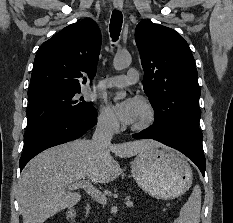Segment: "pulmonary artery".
I'll list each match as a JSON object with an SVG mask.
<instances>
[{
  "mask_svg": "<svg viewBox=\"0 0 233 223\" xmlns=\"http://www.w3.org/2000/svg\"><path fill=\"white\" fill-rule=\"evenodd\" d=\"M139 73L136 69H130L126 75L115 76L105 81L107 87H124L137 82Z\"/></svg>",
  "mask_w": 233,
  "mask_h": 223,
  "instance_id": "obj_1",
  "label": "pulmonary artery"
}]
</instances>
